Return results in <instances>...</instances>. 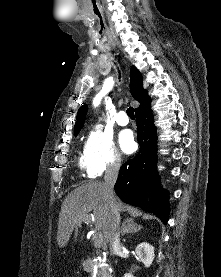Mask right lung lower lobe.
Segmentation results:
<instances>
[{
	"label": "right lung lower lobe",
	"mask_w": 221,
	"mask_h": 277,
	"mask_svg": "<svg viewBox=\"0 0 221 277\" xmlns=\"http://www.w3.org/2000/svg\"><path fill=\"white\" fill-rule=\"evenodd\" d=\"M150 103L149 98L135 110L140 151L121 166L114 189L122 201L153 213L166 224L169 218L168 193L160 187L156 171L157 134ZM146 197H152L151 204L143 203Z\"/></svg>",
	"instance_id": "98d812e1"
}]
</instances>
